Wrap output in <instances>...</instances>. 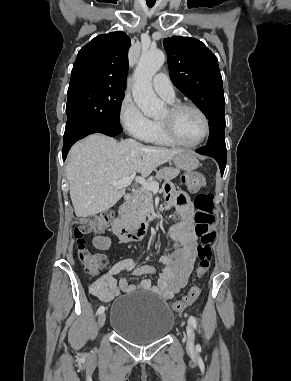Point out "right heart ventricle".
I'll return each mask as SVG.
<instances>
[{"mask_svg":"<svg viewBox=\"0 0 291 381\" xmlns=\"http://www.w3.org/2000/svg\"><path fill=\"white\" fill-rule=\"evenodd\" d=\"M172 102V101H170ZM151 129L146 138V142L159 144V145H172L173 143L169 141L165 135L162 133L158 121H151Z\"/></svg>","mask_w":291,"mask_h":381,"instance_id":"right-heart-ventricle-1","label":"right heart ventricle"}]
</instances>
